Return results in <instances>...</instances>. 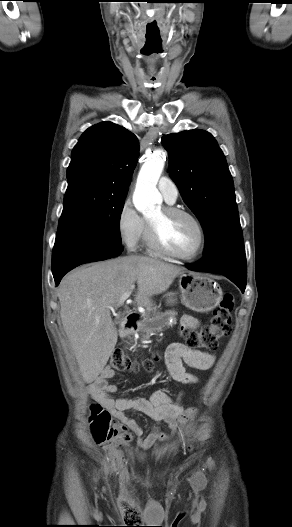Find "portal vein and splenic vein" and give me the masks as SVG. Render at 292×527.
<instances>
[{
	"mask_svg": "<svg viewBox=\"0 0 292 527\" xmlns=\"http://www.w3.org/2000/svg\"><path fill=\"white\" fill-rule=\"evenodd\" d=\"M134 289V285L130 287V291L124 293L122 297L119 299L118 303L115 305V308L120 307L131 295L132 290ZM112 311H114V308H110Z\"/></svg>",
	"mask_w": 292,
	"mask_h": 527,
	"instance_id": "18ae733b",
	"label": "portal vein and splenic vein"
}]
</instances>
